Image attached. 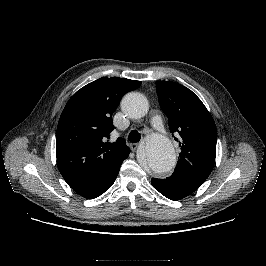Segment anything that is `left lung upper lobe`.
<instances>
[{
	"label": "left lung upper lobe",
	"mask_w": 266,
	"mask_h": 266,
	"mask_svg": "<svg viewBox=\"0 0 266 266\" xmlns=\"http://www.w3.org/2000/svg\"><path fill=\"white\" fill-rule=\"evenodd\" d=\"M156 90L171 133L180 135L181 152L173 173L203 184L215 164V122L202 101L185 86L157 81Z\"/></svg>",
	"instance_id": "left-lung-upper-lobe-1"
}]
</instances>
